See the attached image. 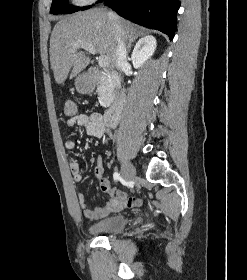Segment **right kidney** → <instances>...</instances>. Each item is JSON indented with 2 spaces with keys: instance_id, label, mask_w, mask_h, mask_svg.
<instances>
[{
  "instance_id": "1",
  "label": "right kidney",
  "mask_w": 247,
  "mask_h": 280,
  "mask_svg": "<svg viewBox=\"0 0 247 280\" xmlns=\"http://www.w3.org/2000/svg\"><path fill=\"white\" fill-rule=\"evenodd\" d=\"M156 48V39L147 35L140 39L134 47L131 60L135 68H140L153 55Z\"/></svg>"
}]
</instances>
